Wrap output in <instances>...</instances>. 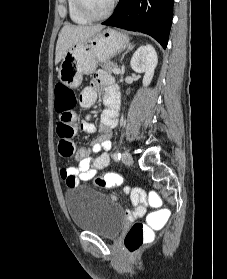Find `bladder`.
I'll return each mask as SVG.
<instances>
[{
	"label": "bladder",
	"instance_id": "bladder-1",
	"mask_svg": "<svg viewBox=\"0 0 227 279\" xmlns=\"http://www.w3.org/2000/svg\"><path fill=\"white\" fill-rule=\"evenodd\" d=\"M64 200L76 229L104 237H115L123 229L125 220L121 206L95 189L68 190Z\"/></svg>",
	"mask_w": 227,
	"mask_h": 279
}]
</instances>
